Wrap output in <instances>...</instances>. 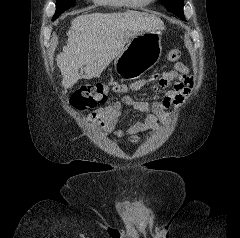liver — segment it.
<instances>
[{"label": "liver", "mask_w": 240, "mask_h": 238, "mask_svg": "<svg viewBox=\"0 0 240 238\" xmlns=\"http://www.w3.org/2000/svg\"><path fill=\"white\" fill-rule=\"evenodd\" d=\"M164 29L160 18L133 10L75 17L71 22L67 45L56 58L63 76V93L79 80L80 68L84 67L86 79L97 78L133 37Z\"/></svg>", "instance_id": "6515ba94"}]
</instances>
